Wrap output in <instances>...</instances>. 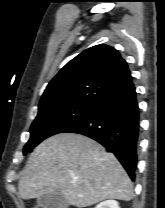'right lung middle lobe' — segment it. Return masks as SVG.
<instances>
[{"instance_id":"right-lung-middle-lobe-1","label":"right lung middle lobe","mask_w":165,"mask_h":208,"mask_svg":"<svg viewBox=\"0 0 165 208\" xmlns=\"http://www.w3.org/2000/svg\"><path fill=\"white\" fill-rule=\"evenodd\" d=\"M96 103L64 102L39 108L38 115L30 128V139L23 149V154L30 152L44 139L66 132L83 120Z\"/></svg>"}]
</instances>
